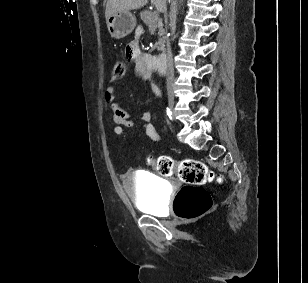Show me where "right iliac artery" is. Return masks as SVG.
<instances>
[{
  "mask_svg": "<svg viewBox=\"0 0 308 283\" xmlns=\"http://www.w3.org/2000/svg\"><path fill=\"white\" fill-rule=\"evenodd\" d=\"M167 115L169 116L170 119H172L171 115H172V112L169 108H167Z\"/></svg>",
  "mask_w": 308,
  "mask_h": 283,
  "instance_id": "82829eb1",
  "label": "right iliac artery"
}]
</instances>
